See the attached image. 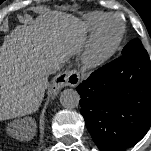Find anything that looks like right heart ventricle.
Masks as SVG:
<instances>
[{"mask_svg":"<svg viewBox=\"0 0 151 151\" xmlns=\"http://www.w3.org/2000/svg\"><path fill=\"white\" fill-rule=\"evenodd\" d=\"M107 14L103 12H91L86 16V24L90 29H95L97 24L101 21L103 17Z\"/></svg>","mask_w":151,"mask_h":151,"instance_id":"right-heart-ventricle-1","label":"right heart ventricle"}]
</instances>
